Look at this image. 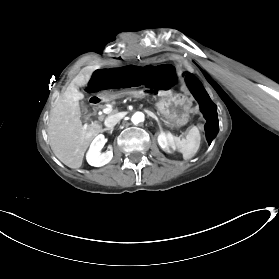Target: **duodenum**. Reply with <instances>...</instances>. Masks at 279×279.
I'll use <instances>...</instances> for the list:
<instances>
[{
	"instance_id": "obj_1",
	"label": "duodenum",
	"mask_w": 279,
	"mask_h": 279,
	"mask_svg": "<svg viewBox=\"0 0 279 279\" xmlns=\"http://www.w3.org/2000/svg\"><path fill=\"white\" fill-rule=\"evenodd\" d=\"M147 96H157V90L152 91H138V93L135 92H120V97H135V98H141V97H147ZM115 98V93H109L105 94L103 96H99L98 94H91L88 97V104L93 109H100L103 106V101L108 99Z\"/></svg>"
}]
</instances>
